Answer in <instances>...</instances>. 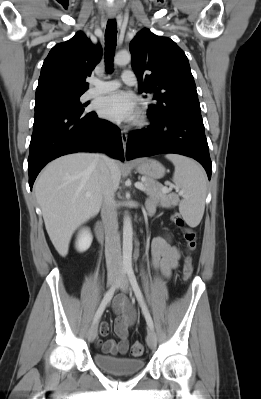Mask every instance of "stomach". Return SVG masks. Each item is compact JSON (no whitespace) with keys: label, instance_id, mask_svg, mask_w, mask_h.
Here are the masks:
<instances>
[{"label":"stomach","instance_id":"1","mask_svg":"<svg viewBox=\"0 0 261 399\" xmlns=\"http://www.w3.org/2000/svg\"><path fill=\"white\" fill-rule=\"evenodd\" d=\"M134 166L140 174L153 180L165 175V167L155 159H140L134 162Z\"/></svg>","mask_w":261,"mask_h":399}]
</instances>
